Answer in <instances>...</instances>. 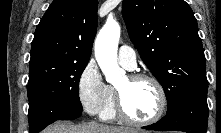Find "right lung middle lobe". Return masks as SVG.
<instances>
[{
    "instance_id": "obj_1",
    "label": "right lung middle lobe",
    "mask_w": 221,
    "mask_h": 133,
    "mask_svg": "<svg viewBox=\"0 0 221 133\" xmlns=\"http://www.w3.org/2000/svg\"><path fill=\"white\" fill-rule=\"evenodd\" d=\"M87 63L64 64L29 75V105L62 110H83L79 99V80Z\"/></svg>"
}]
</instances>
